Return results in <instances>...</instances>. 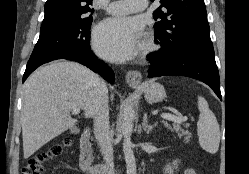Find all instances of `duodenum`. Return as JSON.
<instances>
[{"mask_svg": "<svg viewBox=\"0 0 249 174\" xmlns=\"http://www.w3.org/2000/svg\"><path fill=\"white\" fill-rule=\"evenodd\" d=\"M91 130L86 128L80 139L79 167L84 174H108L110 168L103 164H93V152L90 142Z\"/></svg>", "mask_w": 249, "mask_h": 174, "instance_id": "1", "label": "duodenum"}]
</instances>
